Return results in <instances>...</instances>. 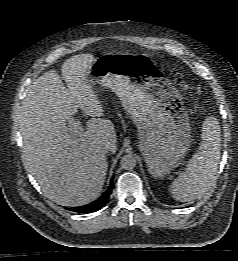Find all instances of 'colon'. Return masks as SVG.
<instances>
[{"instance_id": "5ec220e1", "label": "colon", "mask_w": 238, "mask_h": 261, "mask_svg": "<svg viewBox=\"0 0 238 261\" xmlns=\"http://www.w3.org/2000/svg\"><path fill=\"white\" fill-rule=\"evenodd\" d=\"M175 82L182 88V89H187L188 84L184 80V77L182 74L179 72H175Z\"/></svg>"}]
</instances>
